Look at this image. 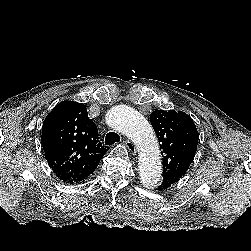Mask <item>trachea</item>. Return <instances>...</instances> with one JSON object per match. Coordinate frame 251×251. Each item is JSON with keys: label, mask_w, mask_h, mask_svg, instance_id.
I'll return each instance as SVG.
<instances>
[{"label": "trachea", "mask_w": 251, "mask_h": 251, "mask_svg": "<svg viewBox=\"0 0 251 251\" xmlns=\"http://www.w3.org/2000/svg\"><path fill=\"white\" fill-rule=\"evenodd\" d=\"M119 141H120V137L115 132H109V133H107V135L105 137V144L106 145H113Z\"/></svg>", "instance_id": "trachea-1"}]
</instances>
